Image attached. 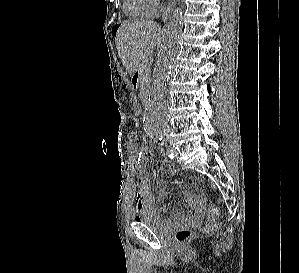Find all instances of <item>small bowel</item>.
Instances as JSON below:
<instances>
[{
    "mask_svg": "<svg viewBox=\"0 0 299 273\" xmlns=\"http://www.w3.org/2000/svg\"><path fill=\"white\" fill-rule=\"evenodd\" d=\"M147 150L142 149L139 153L135 168L138 171H143L145 164H146V157H147ZM168 167L172 173L176 172V168L173 164L169 163ZM167 192L164 188H160L157 199L160 202H163L166 199ZM184 199L185 201L189 204V206L194 210L195 215H199L202 211V203L200 199L191 194V193H184ZM134 201L136 205V219L139 215L140 212L144 210H151L154 212H162L160 208H158L155 204V196L153 194V191L151 189V182L150 178L148 176H140L137 180V185H136V193L134 196ZM177 215H174L172 217V221L178 222L181 221Z\"/></svg>",
    "mask_w": 299,
    "mask_h": 273,
    "instance_id": "obj_1",
    "label": "small bowel"
}]
</instances>
